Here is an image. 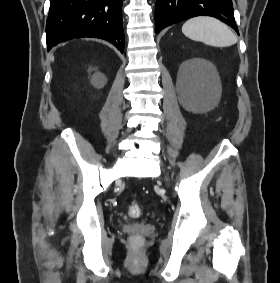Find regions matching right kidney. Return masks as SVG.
Wrapping results in <instances>:
<instances>
[{
  "label": "right kidney",
  "instance_id": "right-kidney-1",
  "mask_svg": "<svg viewBox=\"0 0 280 283\" xmlns=\"http://www.w3.org/2000/svg\"><path fill=\"white\" fill-rule=\"evenodd\" d=\"M105 81H106V78L102 74L96 75L94 77V82H96V83H104Z\"/></svg>",
  "mask_w": 280,
  "mask_h": 283
}]
</instances>
